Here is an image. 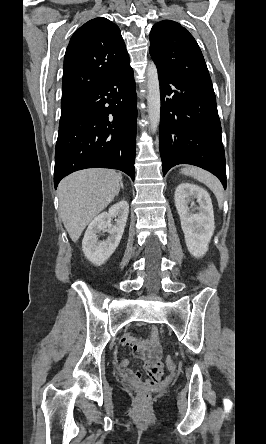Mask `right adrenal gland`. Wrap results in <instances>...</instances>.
<instances>
[{"mask_svg":"<svg viewBox=\"0 0 266 444\" xmlns=\"http://www.w3.org/2000/svg\"><path fill=\"white\" fill-rule=\"evenodd\" d=\"M121 188L124 189L123 183L121 182Z\"/></svg>","mask_w":266,"mask_h":444,"instance_id":"right-adrenal-gland-1","label":"right adrenal gland"}]
</instances>
